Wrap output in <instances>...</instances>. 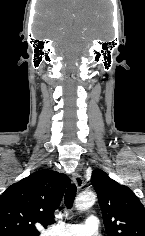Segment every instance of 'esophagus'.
<instances>
[{
	"mask_svg": "<svg viewBox=\"0 0 145 236\" xmlns=\"http://www.w3.org/2000/svg\"><path fill=\"white\" fill-rule=\"evenodd\" d=\"M73 182L76 184L77 188L80 189L83 186V179L77 172L72 175Z\"/></svg>",
	"mask_w": 145,
	"mask_h": 236,
	"instance_id": "obj_1",
	"label": "esophagus"
}]
</instances>
